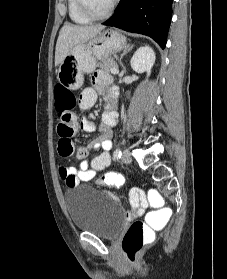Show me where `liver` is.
<instances>
[{"label":"liver","mask_w":227,"mask_h":279,"mask_svg":"<svg viewBox=\"0 0 227 279\" xmlns=\"http://www.w3.org/2000/svg\"><path fill=\"white\" fill-rule=\"evenodd\" d=\"M105 27L103 25L80 26L65 24L60 32L55 49V66H58L74 46L97 36Z\"/></svg>","instance_id":"1"}]
</instances>
